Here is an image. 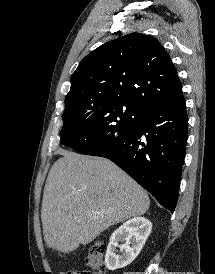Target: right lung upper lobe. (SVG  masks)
Listing matches in <instances>:
<instances>
[{
	"mask_svg": "<svg viewBox=\"0 0 215 274\" xmlns=\"http://www.w3.org/2000/svg\"><path fill=\"white\" fill-rule=\"evenodd\" d=\"M183 98L164 47L153 37L131 33L101 45L80 62L65 102L120 101L144 110Z\"/></svg>",
	"mask_w": 215,
	"mask_h": 274,
	"instance_id": "1",
	"label": "right lung upper lobe"
}]
</instances>
